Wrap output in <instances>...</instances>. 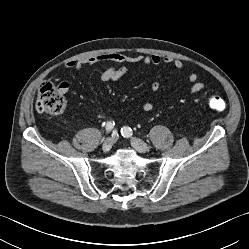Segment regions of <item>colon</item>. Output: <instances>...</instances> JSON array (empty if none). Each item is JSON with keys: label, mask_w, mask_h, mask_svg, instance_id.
<instances>
[{"label": "colon", "mask_w": 249, "mask_h": 249, "mask_svg": "<svg viewBox=\"0 0 249 249\" xmlns=\"http://www.w3.org/2000/svg\"><path fill=\"white\" fill-rule=\"evenodd\" d=\"M208 105L212 110L223 111L226 108L225 101L217 95H212L208 100ZM39 113L49 115L62 114L67 107V100L62 91L61 84L55 85L47 82L40 86L35 103Z\"/></svg>", "instance_id": "obj_1"}]
</instances>
